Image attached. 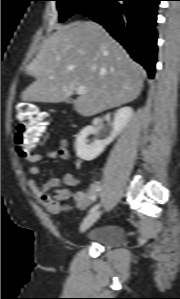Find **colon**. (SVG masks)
Here are the masks:
<instances>
[{"mask_svg":"<svg viewBox=\"0 0 180 299\" xmlns=\"http://www.w3.org/2000/svg\"><path fill=\"white\" fill-rule=\"evenodd\" d=\"M17 127L15 143L19 154L23 157L33 155L36 141L43 134L47 124V113L31 103H22L15 116Z\"/></svg>","mask_w":180,"mask_h":299,"instance_id":"1","label":"colon"}]
</instances>
